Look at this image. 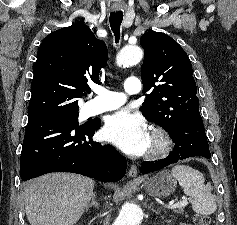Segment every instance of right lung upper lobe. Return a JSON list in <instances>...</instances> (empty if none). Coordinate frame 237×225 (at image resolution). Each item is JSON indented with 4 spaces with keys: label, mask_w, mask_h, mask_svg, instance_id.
Masks as SVG:
<instances>
[{
    "label": "right lung upper lobe",
    "mask_w": 237,
    "mask_h": 225,
    "mask_svg": "<svg viewBox=\"0 0 237 225\" xmlns=\"http://www.w3.org/2000/svg\"><path fill=\"white\" fill-rule=\"evenodd\" d=\"M106 44L83 24L49 34L37 52L28 120L78 112V100L90 93L87 82L99 84L107 63Z\"/></svg>",
    "instance_id": "obj_1"
}]
</instances>
